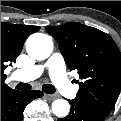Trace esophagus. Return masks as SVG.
<instances>
[{
	"label": "esophagus",
	"mask_w": 121,
	"mask_h": 121,
	"mask_svg": "<svg viewBox=\"0 0 121 121\" xmlns=\"http://www.w3.org/2000/svg\"><path fill=\"white\" fill-rule=\"evenodd\" d=\"M44 96H45V98L48 99V100H53V99L56 98L55 95H50V94H46V93L44 94Z\"/></svg>",
	"instance_id": "obj_1"
}]
</instances>
